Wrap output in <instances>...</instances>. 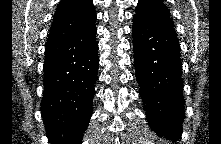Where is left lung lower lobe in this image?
<instances>
[{
    "label": "left lung lower lobe",
    "mask_w": 221,
    "mask_h": 144,
    "mask_svg": "<svg viewBox=\"0 0 221 144\" xmlns=\"http://www.w3.org/2000/svg\"><path fill=\"white\" fill-rule=\"evenodd\" d=\"M136 79L149 126L178 140L184 119L180 45L174 27L133 18Z\"/></svg>",
    "instance_id": "0a47b994"
}]
</instances>
